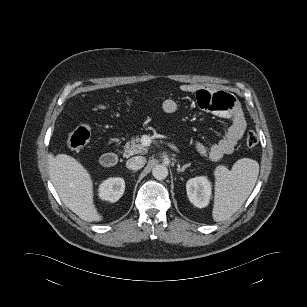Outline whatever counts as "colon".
<instances>
[{
    "label": "colon",
    "instance_id": "1",
    "mask_svg": "<svg viewBox=\"0 0 307 307\" xmlns=\"http://www.w3.org/2000/svg\"><path fill=\"white\" fill-rule=\"evenodd\" d=\"M89 140L90 131L86 127L80 126L69 135L68 146L73 151H79L88 144ZM245 141L248 147L253 148L258 144L259 138L255 132L249 131Z\"/></svg>",
    "mask_w": 307,
    "mask_h": 307
}]
</instances>
